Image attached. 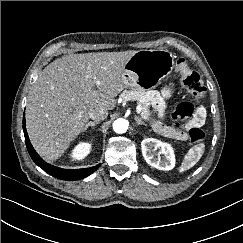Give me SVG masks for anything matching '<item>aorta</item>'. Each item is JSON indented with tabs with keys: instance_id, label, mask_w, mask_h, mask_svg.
Returning <instances> with one entry per match:
<instances>
[{
	"instance_id": "obj_1",
	"label": "aorta",
	"mask_w": 243,
	"mask_h": 243,
	"mask_svg": "<svg viewBox=\"0 0 243 243\" xmlns=\"http://www.w3.org/2000/svg\"><path fill=\"white\" fill-rule=\"evenodd\" d=\"M128 125L129 123L127 120L119 118L113 122V130L115 133L122 134L127 131Z\"/></svg>"
}]
</instances>
